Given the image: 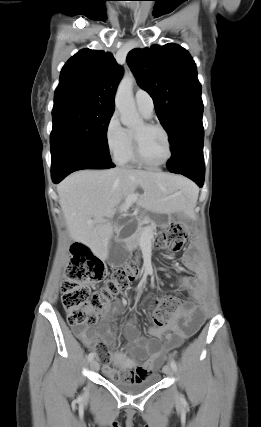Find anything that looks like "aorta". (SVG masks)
Instances as JSON below:
<instances>
[{"label": "aorta", "mask_w": 261, "mask_h": 427, "mask_svg": "<svg viewBox=\"0 0 261 427\" xmlns=\"http://www.w3.org/2000/svg\"><path fill=\"white\" fill-rule=\"evenodd\" d=\"M134 76L132 73H126L119 83L116 96L115 106L119 111L120 120L124 126L135 128L143 124V120L136 110L133 97Z\"/></svg>", "instance_id": "1"}]
</instances>
